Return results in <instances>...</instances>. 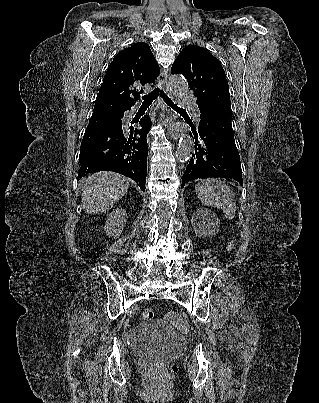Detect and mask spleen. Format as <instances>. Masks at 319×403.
<instances>
[{"label": "spleen", "mask_w": 319, "mask_h": 403, "mask_svg": "<svg viewBox=\"0 0 319 403\" xmlns=\"http://www.w3.org/2000/svg\"><path fill=\"white\" fill-rule=\"evenodd\" d=\"M198 199L206 206L221 208L229 220L235 217L236 201L230 187L222 180L208 178L201 180L195 186Z\"/></svg>", "instance_id": "obj_1"}]
</instances>
